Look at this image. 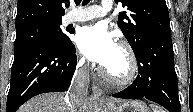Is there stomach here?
Here are the masks:
<instances>
[{
	"mask_svg": "<svg viewBox=\"0 0 193 112\" xmlns=\"http://www.w3.org/2000/svg\"><path fill=\"white\" fill-rule=\"evenodd\" d=\"M108 112H149L147 106L136 100H115L107 105Z\"/></svg>",
	"mask_w": 193,
	"mask_h": 112,
	"instance_id": "obj_1",
	"label": "stomach"
}]
</instances>
